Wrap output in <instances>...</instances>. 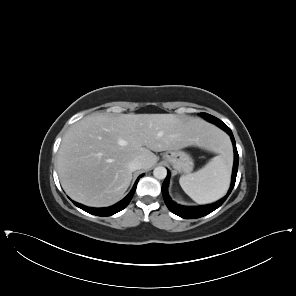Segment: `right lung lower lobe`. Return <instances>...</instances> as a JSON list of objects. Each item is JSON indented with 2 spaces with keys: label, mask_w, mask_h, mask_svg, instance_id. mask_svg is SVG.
Segmentation results:
<instances>
[{
  "label": "right lung lower lobe",
  "mask_w": 296,
  "mask_h": 296,
  "mask_svg": "<svg viewBox=\"0 0 296 296\" xmlns=\"http://www.w3.org/2000/svg\"><path fill=\"white\" fill-rule=\"evenodd\" d=\"M143 175H140L131 192L123 199L121 200L120 202H118L117 204L113 205V206H110V207H106V208H89V207H86L82 204H79L77 202H73L77 207L81 208L82 210L90 213V214H93V215H97V216H110V215H113L121 210H123L130 202V200L132 199L133 197V194L136 190V186H137V183H138V180L142 177Z\"/></svg>",
  "instance_id": "obj_1"
}]
</instances>
